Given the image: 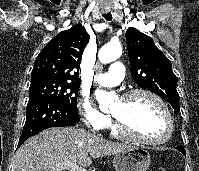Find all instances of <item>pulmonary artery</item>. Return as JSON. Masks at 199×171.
I'll return each instance as SVG.
<instances>
[{
    "instance_id": "e3ab8cb5",
    "label": "pulmonary artery",
    "mask_w": 199,
    "mask_h": 171,
    "mask_svg": "<svg viewBox=\"0 0 199 171\" xmlns=\"http://www.w3.org/2000/svg\"><path fill=\"white\" fill-rule=\"evenodd\" d=\"M124 77V66L121 62H113L107 72L96 75V81L105 87L118 85Z\"/></svg>"
}]
</instances>
